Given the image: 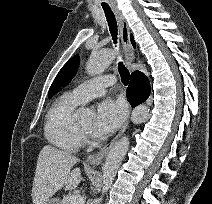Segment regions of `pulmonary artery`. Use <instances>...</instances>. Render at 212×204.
<instances>
[{
    "label": "pulmonary artery",
    "mask_w": 212,
    "mask_h": 204,
    "mask_svg": "<svg viewBox=\"0 0 212 204\" xmlns=\"http://www.w3.org/2000/svg\"><path fill=\"white\" fill-rule=\"evenodd\" d=\"M115 82L112 76H100L83 82L73 89L71 94L80 103L102 96Z\"/></svg>",
    "instance_id": "obj_1"
}]
</instances>
